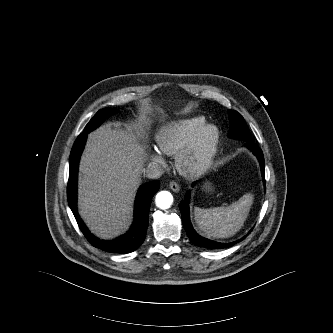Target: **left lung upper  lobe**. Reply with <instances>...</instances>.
<instances>
[{
	"label": "left lung upper lobe",
	"instance_id": "1",
	"mask_svg": "<svg viewBox=\"0 0 333 333\" xmlns=\"http://www.w3.org/2000/svg\"><path fill=\"white\" fill-rule=\"evenodd\" d=\"M231 125L228 136L233 139L244 140L247 143L253 142L248 126L243 117L234 110H228Z\"/></svg>",
	"mask_w": 333,
	"mask_h": 333
}]
</instances>
